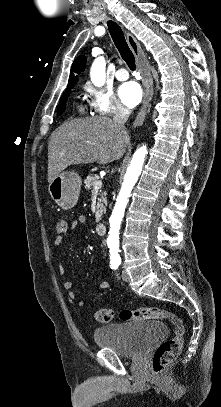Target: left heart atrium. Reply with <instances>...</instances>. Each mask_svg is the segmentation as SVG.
Here are the masks:
<instances>
[{
	"label": "left heart atrium",
	"instance_id": "obj_1",
	"mask_svg": "<svg viewBox=\"0 0 221 407\" xmlns=\"http://www.w3.org/2000/svg\"><path fill=\"white\" fill-rule=\"evenodd\" d=\"M119 97L129 107L136 106L142 98L141 87L134 81L123 83L118 90Z\"/></svg>",
	"mask_w": 221,
	"mask_h": 407
}]
</instances>
